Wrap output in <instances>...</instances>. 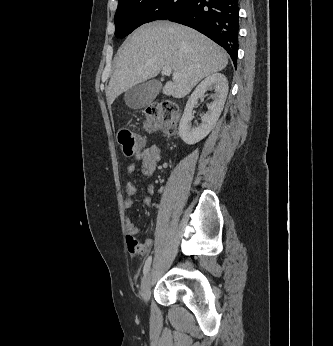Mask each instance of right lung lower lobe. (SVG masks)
Listing matches in <instances>:
<instances>
[{"label": "right lung lower lobe", "instance_id": "right-lung-lower-lobe-1", "mask_svg": "<svg viewBox=\"0 0 333 346\" xmlns=\"http://www.w3.org/2000/svg\"><path fill=\"white\" fill-rule=\"evenodd\" d=\"M167 20L203 33L222 46L236 65L239 31L238 0H185Z\"/></svg>", "mask_w": 333, "mask_h": 346}]
</instances>
